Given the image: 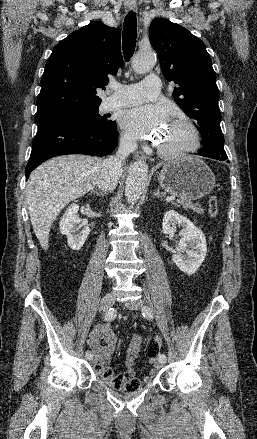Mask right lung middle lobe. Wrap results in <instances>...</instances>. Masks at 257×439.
Here are the masks:
<instances>
[{"label": "right lung middle lobe", "instance_id": "right-lung-middle-lobe-1", "mask_svg": "<svg viewBox=\"0 0 257 439\" xmlns=\"http://www.w3.org/2000/svg\"><path fill=\"white\" fill-rule=\"evenodd\" d=\"M98 107H91V108H84V109H79V110H75L66 114H62L56 117H52L49 119H45V120H41V121H37V123H41L47 120H52V119H58V118H70V119H77L80 121H84L87 123H90L92 125L95 126H110L112 124H114V121H111L109 119H107L106 116H101L98 112Z\"/></svg>", "mask_w": 257, "mask_h": 439}]
</instances>
